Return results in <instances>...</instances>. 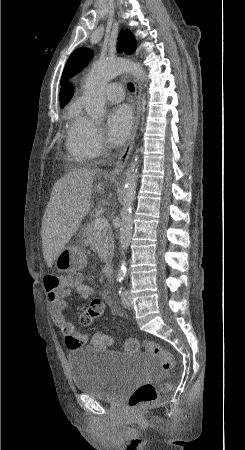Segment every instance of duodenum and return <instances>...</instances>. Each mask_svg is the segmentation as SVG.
Returning a JSON list of instances; mask_svg holds the SVG:
<instances>
[{
  "instance_id": "410a0bca",
  "label": "duodenum",
  "mask_w": 245,
  "mask_h": 450,
  "mask_svg": "<svg viewBox=\"0 0 245 450\" xmlns=\"http://www.w3.org/2000/svg\"><path fill=\"white\" fill-rule=\"evenodd\" d=\"M103 273H104L106 276L113 277L114 274H115V267H114V264H113L112 262L106 264V265L104 266V268H103Z\"/></svg>"
}]
</instances>
